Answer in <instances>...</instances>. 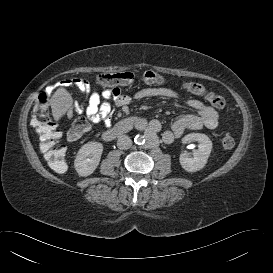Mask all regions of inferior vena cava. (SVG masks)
<instances>
[{"label": "inferior vena cava", "instance_id": "602c4592", "mask_svg": "<svg viewBox=\"0 0 273 273\" xmlns=\"http://www.w3.org/2000/svg\"><path fill=\"white\" fill-rule=\"evenodd\" d=\"M132 146V140L126 135H121L117 140V147L121 150H127Z\"/></svg>", "mask_w": 273, "mask_h": 273}]
</instances>
